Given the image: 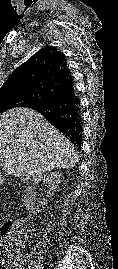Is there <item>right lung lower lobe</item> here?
<instances>
[{
	"instance_id": "obj_1",
	"label": "right lung lower lobe",
	"mask_w": 118,
	"mask_h": 269,
	"mask_svg": "<svg viewBox=\"0 0 118 269\" xmlns=\"http://www.w3.org/2000/svg\"><path fill=\"white\" fill-rule=\"evenodd\" d=\"M29 108L40 112L80 150L82 115L74 83L46 100L30 105Z\"/></svg>"
}]
</instances>
